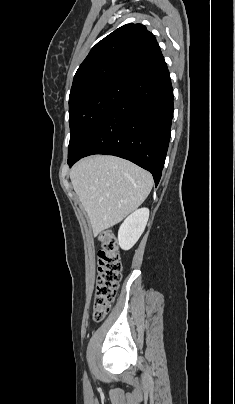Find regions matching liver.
I'll list each match as a JSON object with an SVG mask.
<instances>
[{"mask_svg":"<svg viewBox=\"0 0 235 404\" xmlns=\"http://www.w3.org/2000/svg\"><path fill=\"white\" fill-rule=\"evenodd\" d=\"M70 179L94 235L120 223L136 210L153 186L148 171L108 155L80 160L71 168Z\"/></svg>","mask_w":235,"mask_h":404,"instance_id":"obj_1","label":"liver"}]
</instances>
